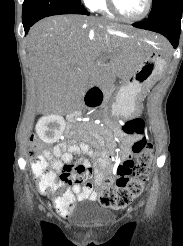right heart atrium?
I'll return each mask as SVG.
<instances>
[{"mask_svg": "<svg viewBox=\"0 0 183 246\" xmlns=\"http://www.w3.org/2000/svg\"><path fill=\"white\" fill-rule=\"evenodd\" d=\"M84 2V4L88 7V8H92V5L93 3L96 1V0H82Z\"/></svg>", "mask_w": 183, "mask_h": 246, "instance_id": "obj_1", "label": "right heart atrium"}]
</instances>
